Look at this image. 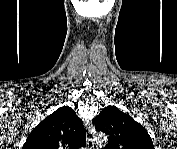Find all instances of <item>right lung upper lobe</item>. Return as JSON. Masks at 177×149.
I'll return each instance as SVG.
<instances>
[{
  "instance_id": "obj_1",
  "label": "right lung upper lobe",
  "mask_w": 177,
  "mask_h": 149,
  "mask_svg": "<svg viewBox=\"0 0 177 149\" xmlns=\"http://www.w3.org/2000/svg\"><path fill=\"white\" fill-rule=\"evenodd\" d=\"M86 131L75 111L60 107L37 125L24 149H77L86 144Z\"/></svg>"
}]
</instances>
